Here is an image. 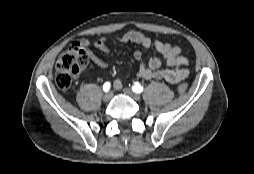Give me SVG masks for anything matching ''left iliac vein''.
Here are the masks:
<instances>
[{"label":"left iliac vein","instance_id":"obj_1","mask_svg":"<svg viewBox=\"0 0 254 174\" xmlns=\"http://www.w3.org/2000/svg\"><path fill=\"white\" fill-rule=\"evenodd\" d=\"M123 93L131 97L135 101H139L141 99V96L137 93H134L131 89L129 88H123Z\"/></svg>","mask_w":254,"mask_h":174}]
</instances>
